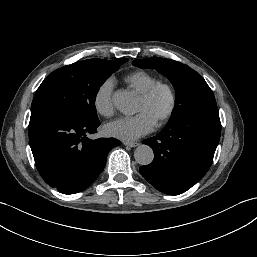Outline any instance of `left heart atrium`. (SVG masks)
Here are the masks:
<instances>
[{
  "label": "left heart atrium",
  "instance_id": "39dd6f15",
  "mask_svg": "<svg viewBox=\"0 0 257 257\" xmlns=\"http://www.w3.org/2000/svg\"><path fill=\"white\" fill-rule=\"evenodd\" d=\"M156 122L145 112L122 117L105 125V133L124 141L136 140L154 130Z\"/></svg>",
  "mask_w": 257,
  "mask_h": 257
}]
</instances>
